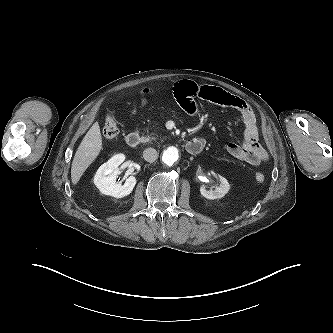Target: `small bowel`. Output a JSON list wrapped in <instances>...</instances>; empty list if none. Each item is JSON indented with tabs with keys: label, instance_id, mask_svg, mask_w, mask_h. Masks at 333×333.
<instances>
[{
	"label": "small bowel",
	"instance_id": "small-bowel-1",
	"mask_svg": "<svg viewBox=\"0 0 333 333\" xmlns=\"http://www.w3.org/2000/svg\"><path fill=\"white\" fill-rule=\"evenodd\" d=\"M148 92V90H145L143 93L146 94ZM173 92L181 107L190 114H194L197 111L195 102L197 98L236 110L244 123V141L242 144L229 143L226 147L227 152L232 157L253 166H257L267 159V152L259 143L255 113L244 100L219 87L199 85L189 80H182L176 83ZM144 104L145 100H142L139 105L133 102L131 114H136L138 108ZM197 139L204 141L202 138Z\"/></svg>",
	"mask_w": 333,
	"mask_h": 333
}]
</instances>
